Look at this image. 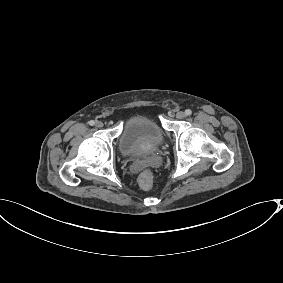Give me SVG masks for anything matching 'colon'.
Listing matches in <instances>:
<instances>
[{
	"instance_id": "5ec220e1",
	"label": "colon",
	"mask_w": 283,
	"mask_h": 283,
	"mask_svg": "<svg viewBox=\"0 0 283 283\" xmlns=\"http://www.w3.org/2000/svg\"><path fill=\"white\" fill-rule=\"evenodd\" d=\"M153 174L150 170H144L140 173L138 177V183L141 188L145 190H150L153 187Z\"/></svg>"
}]
</instances>
